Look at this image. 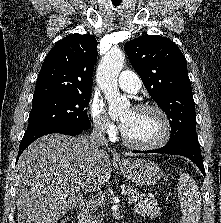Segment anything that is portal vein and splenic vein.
Returning a JSON list of instances; mask_svg holds the SVG:
<instances>
[{"label": "portal vein and splenic vein", "mask_w": 221, "mask_h": 223, "mask_svg": "<svg viewBox=\"0 0 221 223\" xmlns=\"http://www.w3.org/2000/svg\"><path fill=\"white\" fill-rule=\"evenodd\" d=\"M122 193H125V194H127V191H123Z\"/></svg>", "instance_id": "1"}]
</instances>
